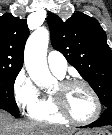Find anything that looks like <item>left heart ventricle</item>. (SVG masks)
I'll list each match as a JSON object with an SVG mask.
<instances>
[{"label":"left heart ventricle","mask_w":112,"mask_h":135,"mask_svg":"<svg viewBox=\"0 0 112 135\" xmlns=\"http://www.w3.org/2000/svg\"><path fill=\"white\" fill-rule=\"evenodd\" d=\"M60 93L61 88L58 84L52 91V94ZM63 95L68 111L75 118L85 120L93 115L95 109L94 100L84 86H71L64 90Z\"/></svg>","instance_id":"1"}]
</instances>
